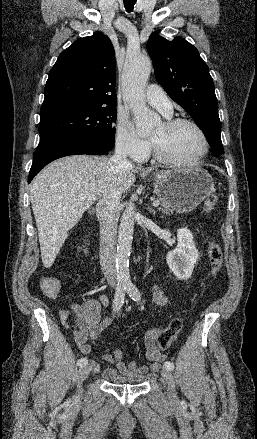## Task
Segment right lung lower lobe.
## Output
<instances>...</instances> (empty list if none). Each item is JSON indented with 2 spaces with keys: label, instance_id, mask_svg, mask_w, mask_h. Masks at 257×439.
I'll use <instances>...</instances> for the list:
<instances>
[{
  "label": "right lung lower lobe",
  "instance_id": "obj_1",
  "mask_svg": "<svg viewBox=\"0 0 257 439\" xmlns=\"http://www.w3.org/2000/svg\"><path fill=\"white\" fill-rule=\"evenodd\" d=\"M113 146L114 144L103 139L73 134L57 135L40 141L33 156L28 183L45 165L55 159L75 154L103 155Z\"/></svg>",
  "mask_w": 257,
  "mask_h": 439
}]
</instances>
